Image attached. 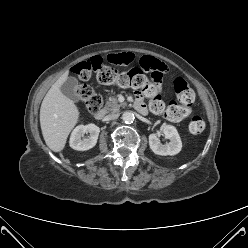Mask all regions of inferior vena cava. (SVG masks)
<instances>
[{"label": "inferior vena cava", "mask_w": 248, "mask_h": 248, "mask_svg": "<svg viewBox=\"0 0 248 248\" xmlns=\"http://www.w3.org/2000/svg\"><path fill=\"white\" fill-rule=\"evenodd\" d=\"M119 117V114H109V115H107V116H105V120L106 121H109V120H115V119H117Z\"/></svg>", "instance_id": "inferior-vena-cava-1"}]
</instances>
